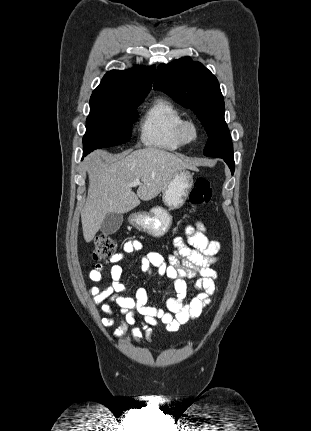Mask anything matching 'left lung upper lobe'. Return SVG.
I'll return each instance as SVG.
<instances>
[{
	"mask_svg": "<svg viewBox=\"0 0 311 431\" xmlns=\"http://www.w3.org/2000/svg\"><path fill=\"white\" fill-rule=\"evenodd\" d=\"M154 86L197 115L208 135L205 156L233 154L231 136L224 119V98L216 77L208 69L189 57L167 65L160 64Z\"/></svg>",
	"mask_w": 311,
	"mask_h": 431,
	"instance_id": "obj_1",
	"label": "left lung upper lobe"
}]
</instances>
